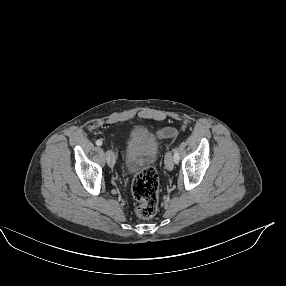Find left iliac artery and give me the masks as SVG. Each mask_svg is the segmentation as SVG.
Here are the masks:
<instances>
[{
  "mask_svg": "<svg viewBox=\"0 0 286 286\" xmlns=\"http://www.w3.org/2000/svg\"><path fill=\"white\" fill-rule=\"evenodd\" d=\"M173 154H174V162L178 163L179 162V154H178L177 147L173 149Z\"/></svg>",
  "mask_w": 286,
  "mask_h": 286,
  "instance_id": "obj_1",
  "label": "left iliac artery"
}]
</instances>
